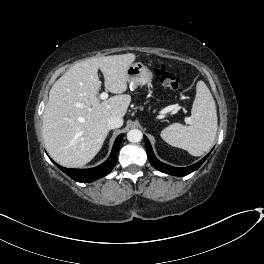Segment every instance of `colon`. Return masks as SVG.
Returning <instances> with one entry per match:
<instances>
[{"instance_id": "obj_1", "label": "colon", "mask_w": 264, "mask_h": 264, "mask_svg": "<svg viewBox=\"0 0 264 264\" xmlns=\"http://www.w3.org/2000/svg\"><path fill=\"white\" fill-rule=\"evenodd\" d=\"M156 75L159 81L166 87L177 90L180 87L179 79L170 71L167 70L165 66H161L156 71Z\"/></svg>"}]
</instances>
